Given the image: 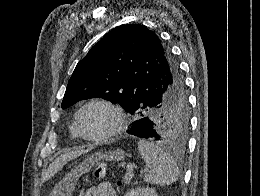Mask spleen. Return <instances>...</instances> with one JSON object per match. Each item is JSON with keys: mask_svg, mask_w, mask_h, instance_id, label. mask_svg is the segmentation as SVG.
<instances>
[{"mask_svg": "<svg viewBox=\"0 0 260 196\" xmlns=\"http://www.w3.org/2000/svg\"><path fill=\"white\" fill-rule=\"evenodd\" d=\"M138 150L149 170L144 176L145 182L156 186H170L178 180L179 168L173 158L165 154L162 148L147 140H139Z\"/></svg>", "mask_w": 260, "mask_h": 196, "instance_id": "obj_1", "label": "spleen"}]
</instances>
